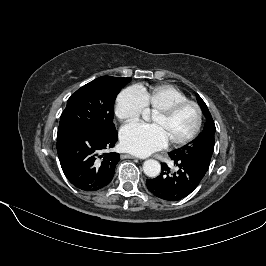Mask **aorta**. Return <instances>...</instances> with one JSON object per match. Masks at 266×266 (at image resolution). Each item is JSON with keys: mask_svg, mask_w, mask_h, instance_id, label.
I'll return each instance as SVG.
<instances>
[{"mask_svg": "<svg viewBox=\"0 0 266 266\" xmlns=\"http://www.w3.org/2000/svg\"><path fill=\"white\" fill-rule=\"evenodd\" d=\"M143 171L148 177H157L161 172V165L158 161L148 159L143 164Z\"/></svg>", "mask_w": 266, "mask_h": 266, "instance_id": "aorta-1", "label": "aorta"}]
</instances>
